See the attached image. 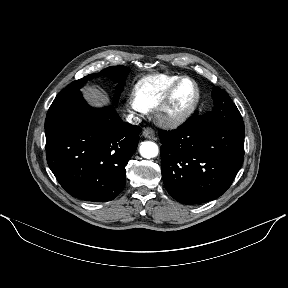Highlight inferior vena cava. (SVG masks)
I'll return each instance as SVG.
<instances>
[{
    "mask_svg": "<svg viewBox=\"0 0 288 288\" xmlns=\"http://www.w3.org/2000/svg\"><path fill=\"white\" fill-rule=\"evenodd\" d=\"M126 120L131 124H139L141 122V119L139 117H135L133 115H128Z\"/></svg>",
    "mask_w": 288,
    "mask_h": 288,
    "instance_id": "602c4592",
    "label": "inferior vena cava"
}]
</instances>
